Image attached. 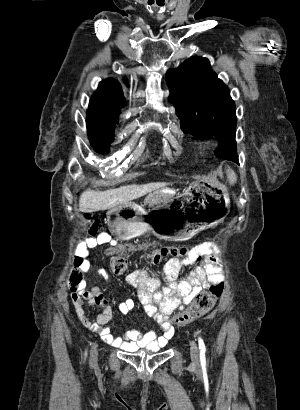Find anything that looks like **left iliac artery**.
<instances>
[{
    "mask_svg": "<svg viewBox=\"0 0 300 410\" xmlns=\"http://www.w3.org/2000/svg\"><path fill=\"white\" fill-rule=\"evenodd\" d=\"M198 344H199L201 362H205L206 347H205L204 341L201 337L198 338Z\"/></svg>",
    "mask_w": 300,
    "mask_h": 410,
    "instance_id": "left-iliac-artery-1",
    "label": "left iliac artery"
}]
</instances>
